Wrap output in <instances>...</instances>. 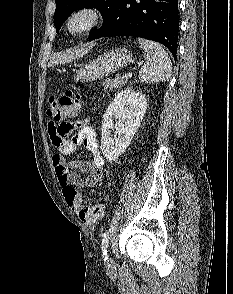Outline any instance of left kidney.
<instances>
[{"instance_id":"obj_1","label":"left kidney","mask_w":233,"mask_h":294,"mask_svg":"<svg viewBox=\"0 0 233 294\" xmlns=\"http://www.w3.org/2000/svg\"><path fill=\"white\" fill-rule=\"evenodd\" d=\"M147 109V99L139 91L122 90L108 106L101 128V149L108 161L116 160L125 152ZM113 118L118 121L114 124ZM114 130L118 137H112Z\"/></svg>"}]
</instances>
